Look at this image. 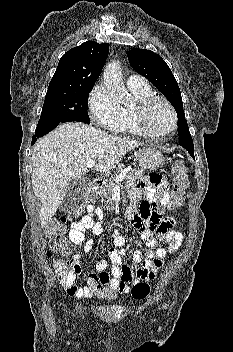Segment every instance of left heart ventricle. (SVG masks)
Wrapping results in <instances>:
<instances>
[{"label":"left heart ventricle","mask_w":233,"mask_h":352,"mask_svg":"<svg viewBox=\"0 0 233 352\" xmlns=\"http://www.w3.org/2000/svg\"><path fill=\"white\" fill-rule=\"evenodd\" d=\"M172 115L169 109L161 102L154 103L147 115V124L151 131L162 133L172 127Z\"/></svg>","instance_id":"obj_1"}]
</instances>
